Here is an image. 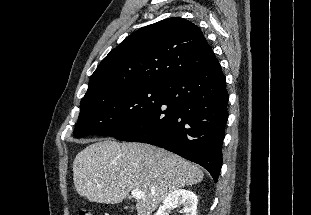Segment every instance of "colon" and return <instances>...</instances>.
Masks as SVG:
<instances>
[{"mask_svg":"<svg viewBox=\"0 0 311 215\" xmlns=\"http://www.w3.org/2000/svg\"><path fill=\"white\" fill-rule=\"evenodd\" d=\"M79 215H94L93 212L89 209H82L80 212H79Z\"/></svg>","mask_w":311,"mask_h":215,"instance_id":"obj_1","label":"colon"}]
</instances>
